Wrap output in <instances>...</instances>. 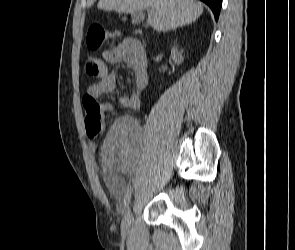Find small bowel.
Segmentation results:
<instances>
[{"label":"small bowel","mask_w":295,"mask_h":250,"mask_svg":"<svg viewBox=\"0 0 295 250\" xmlns=\"http://www.w3.org/2000/svg\"><path fill=\"white\" fill-rule=\"evenodd\" d=\"M118 62H125L134 71L133 91L130 95L120 96L118 103L125 108L138 109L141 105V94L148 85L149 77L147 59L141 43L137 40H125L103 53L99 80L88 87L87 95L97 99L114 90L116 74L114 71H109L108 64ZM102 106L106 112H111L110 104ZM139 147L138 126L129 117L120 118L109 130L102 147L106 184L117 196L125 191L126 181L123 175L132 172ZM91 149H95L93 143Z\"/></svg>","instance_id":"obj_1"}]
</instances>
